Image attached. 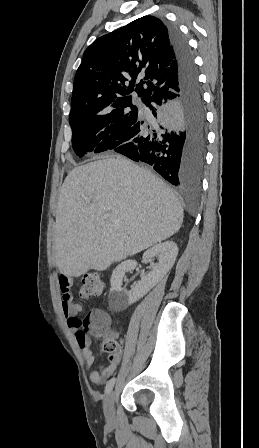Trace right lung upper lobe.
Listing matches in <instances>:
<instances>
[{
	"label": "right lung upper lobe",
	"mask_w": 259,
	"mask_h": 448,
	"mask_svg": "<svg viewBox=\"0 0 259 448\" xmlns=\"http://www.w3.org/2000/svg\"><path fill=\"white\" fill-rule=\"evenodd\" d=\"M177 86L168 29L161 19L143 16L86 49L74 79L70 115L133 105L131 93L145 103Z\"/></svg>",
	"instance_id": "right-lung-upper-lobe-1"
}]
</instances>
